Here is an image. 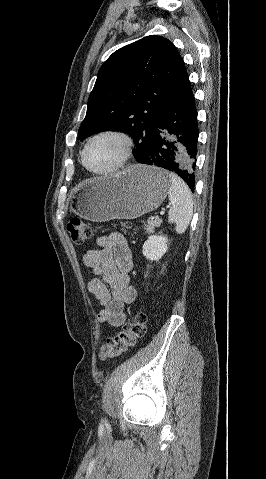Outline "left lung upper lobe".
Returning a JSON list of instances; mask_svg holds the SVG:
<instances>
[{"mask_svg": "<svg viewBox=\"0 0 266 479\" xmlns=\"http://www.w3.org/2000/svg\"><path fill=\"white\" fill-rule=\"evenodd\" d=\"M187 75L183 59L166 38L150 35L120 48L98 72L79 139L104 130L126 132L141 163L163 108Z\"/></svg>", "mask_w": 266, "mask_h": 479, "instance_id": "1", "label": "left lung upper lobe"}]
</instances>
